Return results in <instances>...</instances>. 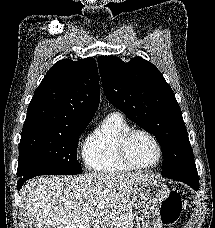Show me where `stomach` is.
Masks as SVG:
<instances>
[{
    "label": "stomach",
    "instance_id": "0dacf381",
    "mask_svg": "<svg viewBox=\"0 0 215 228\" xmlns=\"http://www.w3.org/2000/svg\"><path fill=\"white\" fill-rule=\"evenodd\" d=\"M169 194V188L155 178H147L135 184L133 196L137 198L142 208L143 228H162L161 204Z\"/></svg>",
    "mask_w": 215,
    "mask_h": 228
}]
</instances>
